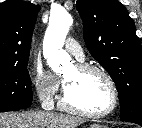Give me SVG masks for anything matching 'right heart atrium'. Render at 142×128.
I'll use <instances>...</instances> for the list:
<instances>
[{
	"label": "right heart atrium",
	"instance_id": "1",
	"mask_svg": "<svg viewBox=\"0 0 142 128\" xmlns=\"http://www.w3.org/2000/svg\"><path fill=\"white\" fill-rule=\"evenodd\" d=\"M33 83L38 98L46 103L55 100L59 90L57 78L44 69L40 63H36L33 68Z\"/></svg>",
	"mask_w": 142,
	"mask_h": 128
}]
</instances>
